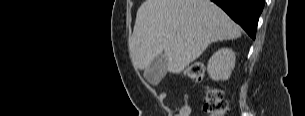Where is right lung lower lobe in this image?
Wrapping results in <instances>:
<instances>
[{
	"label": "right lung lower lobe",
	"mask_w": 305,
	"mask_h": 116,
	"mask_svg": "<svg viewBox=\"0 0 305 116\" xmlns=\"http://www.w3.org/2000/svg\"><path fill=\"white\" fill-rule=\"evenodd\" d=\"M220 6L253 39L264 0H211Z\"/></svg>",
	"instance_id": "right-lung-lower-lobe-1"
}]
</instances>
